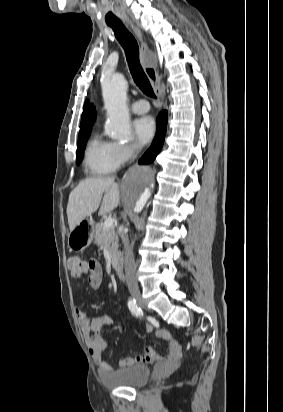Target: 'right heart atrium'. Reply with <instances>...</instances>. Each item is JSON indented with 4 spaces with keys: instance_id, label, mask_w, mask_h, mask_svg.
I'll list each match as a JSON object with an SVG mask.
<instances>
[{
    "instance_id": "right-heart-atrium-1",
    "label": "right heart atrium",
    "mask_w": 283,
    "mask_h": 412,
    "mask_svg": "<svg viewBox=\"0 0 283 412\" xmlns=\"http://www.w3.org/2000/svg\"><path fill=\"white\" fill-rule=\"evenodd\" d=\"M139 150L140 146L136 142L115 143L114 155L120 165L132 160Z\"/></svg>"
}]
</instances>
